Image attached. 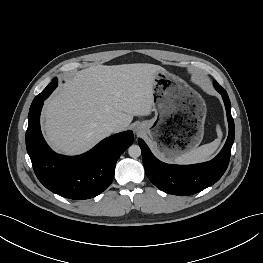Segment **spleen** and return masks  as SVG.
<instances>
[{
  "mask_svg": "<svg viewBox=\"0 0 263 263\" xmlns=\"http://www.w3.org/2000/svg\"><path fill=\"white\" fill-rule=\"evenodd\" d=\"M217 135L218 138L213 142L204 144L196 149H193L187 153H184L174 159V162L181 165L196 164L208 161L212 158L213 154L219 147L222 139V130L219 125H217Z\"/></svg>",
  "mask_w": 263,
  "mask_h": 263,
  "instance_id": "obj_1",
  "label": "spleen"
}]
</instances>
